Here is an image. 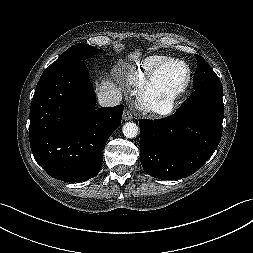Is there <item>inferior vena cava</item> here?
Returning a JSON list of instances; mask_svg holds the SVG:
<instances>
[{
  "mask_svg": "<svg viewBox=\"0 0 253 253\" xmlns=\"http://www.w3.org/2000/svg\"><path fill=\"white\" fill-rule=\"evenodd\" d=\"M122 94L117 89H107L99 92L98 102L103 107H113L120 104Z\"/></svg>",
  "mask_w": 253,
  "mask_h": 253,
  "instance_id": "602c4592",
  "label": "inferior vena cava"
}]
</instances>
